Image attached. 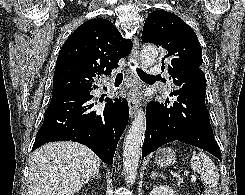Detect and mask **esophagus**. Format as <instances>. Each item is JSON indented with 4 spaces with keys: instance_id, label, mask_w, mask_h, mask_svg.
Masks as SVG:
<instances>
[{
    "instance_id": "1",
    "label": "esophagus",
    "mask_w": 245,
    "mask_h": 195,
    "mask_svg": "<svg viewBox=\"0 0 245 195\" xmlns=\"http://www.w3.org/2000/svg\"><path fill=\"white\" fill-rule=\"evenodd\" d=\"M140 51H139V39L137 37H134L133 40V49L131 52V60L134 64H138L139 63V59H140ZM130 80L133 83V88L131 91H129L128 95H127V102H128V106H129V114L130 117L133 118L135 115V112L138 108V99H137V89H136V84L138 82V78L135 72V68L133 66H130L128 68L127 71Z\"/></svg>"
}]
</instances>
